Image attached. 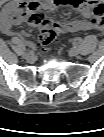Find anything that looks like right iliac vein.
<instances>
[{
  "mask_svg": "<svg viewBox=\"0 0 104 137\" xmlns=\"http://www.w3.org/2000/svg\"><path fill=\"white\" fill-rule=\"evenodd\" d=\"M23 56L28 61H33L34 60V54L32 52H26V53H24Z\"/></svg>",
  "mask_w": 104,
  "mask_h": 137,
  "instance_id": "obj_1",
  "label": "right iliac vein"
}]
</instances>
